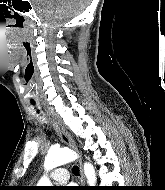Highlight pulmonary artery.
<instances>
[{
    "mask_svg": "<svg viewBox=\"0 0 165 190\" xmlns=\"http://www.w3.org/2000/svg\"><path fill=\"white\" fill-rule=\"evenodd\" d=\"M51 178L60 184L66 183L69 179V173L65 168H57L51 173Z\"/></svg>",
    "mask_w": 165,
    "mask_h": 190,
    "instance_id": "1",
    "label": "pulmonary artery"
}]
</instances>
